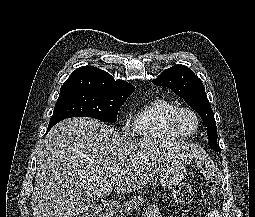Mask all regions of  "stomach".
<instances>
[{
  "mask_svg": "<svg viewBox=\"0 0 255 217\" xmlns=\"http://www.w3.org/2000/svg\"><path fill=\"white\" fill-rule=\"evenodd\" d=\"M185 177V167L181 159H173L167 162L158 174L160 184L167 189H172L178 185ZM118 205L114 204L117 210Z\"/></svg>",
  "mask_w": 255,
  "mask_h": 217,
  "instance_id": "0dacf381",
  "label": "stomach"
}]
</instances>
